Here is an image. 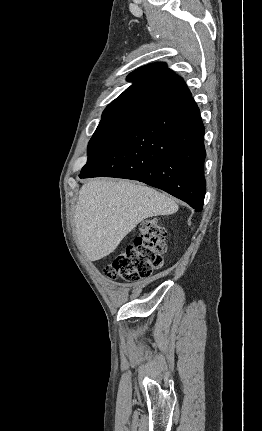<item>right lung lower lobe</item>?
I'll return each mask as SVG.
<instances>
[{"label":"right lung lower lobe","instance_id":"right-lung-lower-lobe-1","mask_svg":"<svg viewBox=\"0 0 262 431\" xmlns=\"http://www.w3.org/2000/svg\"><path fill=\"white\" fill-rule=\"evenodd\" d=\"M203 136L199 108L190 98L133 125L79 177L138 180L201 211L206 187Z\"/></svg>","mask_w":262,"mask_h":431}]
</instances>
